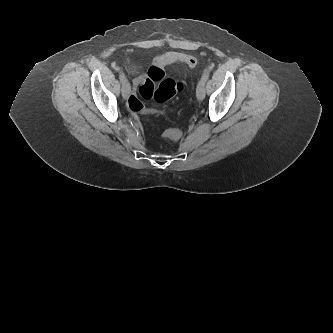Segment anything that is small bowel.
Wrapping results in <instances>:
<instances>
[{"instance_id":"c3829d8e","label":"small bowel","mask_w":333,"mask_h":333,"mask_svg":"<svg viewBox=\"0 0 333 333\" xmlns=\"http://www.w3.org/2000/svg\"><path fill=\"white\" fill-rule=\"evenodd\" d=\"M171 63H184L190 67H193L196 65V59L193 56L180 52H166L160 54L154 58V64L148 66L146 70V78L143 76H137L134 79L135 86L140 84L143 85L148 79L159 84L166 82L168 74L162 67Z\"/></svg>"}]
</instances>
